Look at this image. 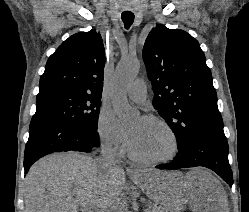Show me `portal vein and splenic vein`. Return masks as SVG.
I'll list each match as a JSON object with an SVG mask.
<instances>
[{"label": "portal vein and splenic vein", "instance_id": "portal-vein-and-splenic-vein-1", "mask_svg": "<svg viewBox=\"0 0 249 212\" xmlns=\"http://www.w3.org/2000/svg\"><path fill=\"white\" fill-rule=\"evenodd\" d=\"M83 212H95L93 208H84Z\"/></svg>", "mask_w": 249, "mask_h": 212}]
</instances>
